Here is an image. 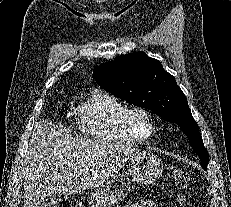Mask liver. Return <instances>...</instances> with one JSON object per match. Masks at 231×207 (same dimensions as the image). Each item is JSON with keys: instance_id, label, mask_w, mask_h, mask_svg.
<instances>
[{"instance_id": "1", "label": "liver", "mask_w": 231, "mask_h": 207, "mask_svg": "<svg viewBox=\"0 0 231 207\" xmlns=\"http://www.w3.org/2000/svg\"><path fill=\"white\" fill-rule=\"evenodd\" d=\"M140 151L105 140H86L48 120H39L30 138L25 166L23 207H43L46 197L97 188Z\"/></svg>"}]
</instances>
